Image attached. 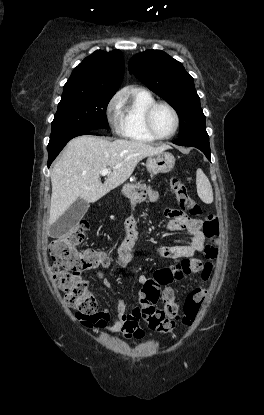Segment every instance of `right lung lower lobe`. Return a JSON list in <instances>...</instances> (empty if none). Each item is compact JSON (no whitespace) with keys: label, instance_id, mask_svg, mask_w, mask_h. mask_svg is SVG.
<instances>
[{"label":"right lung lower lobe","instance_id":"1","mask_svg":"<svg viewBox=\"0 0 264 415\" xmlns=\"http://www.w3.org/2000/svg\"><path fill=\"white\" fill-rule=\"evenodd\" d=\"M86 134L94 135L95 133L90 132V131H86V132H83V133L78 134L76 136L86 135ZM76 136H73V137H71V138H69V139H67V140H65V141H63V142H61V143H59V144L51 147V148H48V156H49L48 157V167L51 165V163L57 157V155L60 153V151L64 148V146L67 144V142L69 140H71L72 138L76 137Z\"/></svg>","mask_w":264,"mask_h":415}]
</instances>
